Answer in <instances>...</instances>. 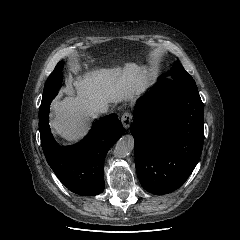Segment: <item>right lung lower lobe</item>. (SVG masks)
Wrapping results in <instances>:
<instances>
[{"label": "right lung lower lobe", "instance_id": "1", "mask_svg": "<svg viewBox=\"0 0 240 240\" xmlns=\"http://www.w3.org/2000/svg\"><path fill=\"white\" fill-rule=\"evenodd\" d=\"M49 109L39 115L41 146L49 166L70 191L91 196L103 192L104 160L108 150L123 134L116 114L96 120L90 133L78 144L60 146L49 128Z\"/></svg>", "mask_w": 240, "mask_h": 240}]
</instances>
